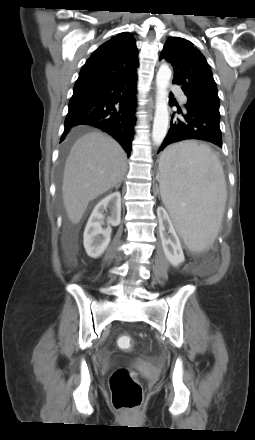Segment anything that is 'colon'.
Wrapping results in <instances>:
<instances>
[{
	"label": "colon",
	"instance_id": "colon-1",
	"mask_svg": "<svg viewBox=\"0 0 255 440\" xmlns=\"http://www.w3.org/2000/svg\"><path fill=\"white\" fill-rule=\"evenodd\" d=\"M133 339L130 335H120L117 345L121 349H131ZM112 404L119 410H137L143 400L142 386L135 374L125 367L116 369L110 377Z\"/></svg>",
	"mask_w": 255,
	"mask_h": 440
}]
</instances>
